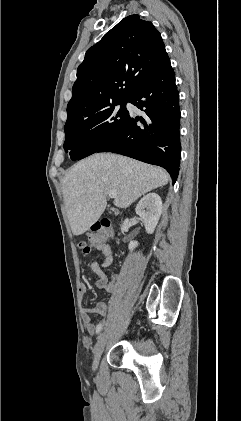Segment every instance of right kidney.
<instances>
[{
  "mask_svg": "<svg viewBox=\"0 0 241 421\" xmlns=\"http://www.w3.org/2000/svg\"><path fill=\"white\" fill-rule=\"evenodd\" d=\"M135 211L143 220L146 232L152 234L162 213L161 197L156 193L147 194L138 202ZM137 246V241H130L128 248L132 251Z\"/></svg>",
  "mask_w": 241,
  "mask_h": 421,
  "instance_id": "ca27d5eb",
  "label": "right kidney"
}]
</instances>
